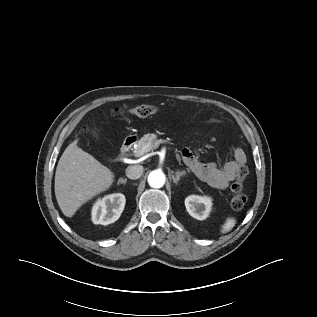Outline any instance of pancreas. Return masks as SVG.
<instances>
[{
	"instance_id": "obj_1",
	"label": "pancreas",
	"mask_w": 317,
	"mask_h": 317,
	"mask_svg": "<svg viewBox=\"0 0 317 317\" xmlns=\"http://www.w3.org/2000/svg\"><path fill=\"white\" fill-rule=\"evenodd\" d=\"M159 142L157 141L156 134H145L137 143V146L134 149L135 156H142L147 152L154 150L158 146Z\"/></svg>"
}]
</instances>
